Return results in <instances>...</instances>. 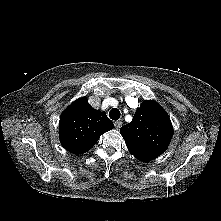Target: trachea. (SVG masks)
<instances>
[{"label":"trachea","mask_w":221,"mask_h":221,"mask_svg":"<svg viewBox=\"0 0 221 221\" xmlns=\"http://www.w3.org/2000/svg\"><path fill=\"white\" fill-rule=\"evenodd\" d=\"M120 111L117 108H113L110 112H109V117L112 120H118L120 118Z\"/></svg>","instance_id":"obj_1"}]
</instances>
